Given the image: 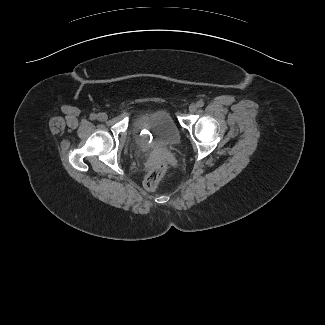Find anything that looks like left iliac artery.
Segmentation results:
<instances>
[{"label":"left iliac artery","instance_id":"44dca946","mask_svg":"<svg viewBox=\"0 0 325 325\" xmlns=\"http://www.w3.org/2000/svg\"><path fill=\"white\" fill-rule=\"evenodd\" d=\"M197 106H198L199 108L203 107V106H204V102H203L202 100H199V101L197 102Z\"/></svg>","mask_w":325,"mask_h":325}]
</instances>
